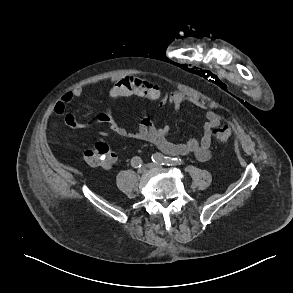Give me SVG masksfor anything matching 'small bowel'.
Instances as JSON below:
<instances>
[{
    "mask_svg": "<svg viewBox=\"0 0 293 293\" xmlns=\"http://www.w3.org/2000/svg\"><path fill=\"white\" fill-rule=\"evenodd\" d=\"M87 87V85H80L66 92L62 96L61 101L57 102L54 106L55 114L64 116L66 125L71 129L83 128L84 124L79 122L72 113L66 112V105L74 98L82 96ZM143 91L155 94V97L150 100H161L163 104H169L173 111V117L178 116L182 105L186 102L196 107L203 108L202 103L191 95L180 91L161 93L156 85L137 77L122 76L116 78L109 87L108 93L111 98L117 99L133 95L141 96V92ZM205 117L206 121L203 124L201 137L199 139L191 138L180 143L168 139V134L171 130L169 124L156 127L147 117L141 120L136 131H129L121 126L114 118L111 109L106 112L98 113L96 115V121L104 124L110 131L122 138L150 142L156 145L165 154L172 156L192 154L198 161L206 162L211 158L212 130L220 123V116L213 111H206ZM100 134L104 137H109V133L104 129L100 130ZM115 163L116 157L105 169H111Z\"/></svg>",
    "mask_w": 293,
    "mask_h": 293,
    "instance_id": "1",
    "label": "small bowel"
}]
</instances>
